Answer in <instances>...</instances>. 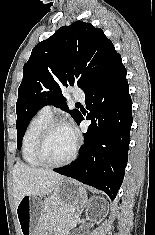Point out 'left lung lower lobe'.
I'll return each mask as SVG.
<instances>
[{"instance_id":"1","label":"left lung lower lobe","mask_w":155,"mask_h":235,"mask_svg":"<svg viewBox=\"0 0 155 235\" xmlns=\"http://www.w3.org/2000/svg\"><path fill=\"white\" fill-rule=\"evenodd\" d=\"M121 56L106 74L85 93L91 120L84 133L79 157L70 165L53 169L104 191L114 200L124 178L128 160L132 101ZM83 120L80 115L77 124Z\"/></svg>"}]
</instances>
